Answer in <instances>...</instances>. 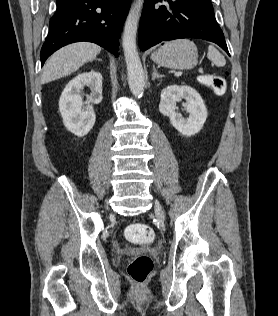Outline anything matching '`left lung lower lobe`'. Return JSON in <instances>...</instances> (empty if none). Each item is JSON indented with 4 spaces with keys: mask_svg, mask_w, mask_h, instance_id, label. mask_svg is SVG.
Listing matches in <instances>:
<instances>
[{
    "mask_svg": "<svg viewBox=\"0 0 278 316\" xmlns=\"http://www.w3.org/2000/svg\"><path fill=\"white\" fill-rule=\"evenodd\" d=\"M169 6H157L162 0H145L139 26L142 51L158 44L182 38H197L228 48L214 9L200 0H167Z\"/></svg>",
    "mask_w": 278,
    "mask_h": 316,
    "instance_id": "left-lung-lower-lobe-1",
    "label": "left lung lower lobe"
}]
</instances>
